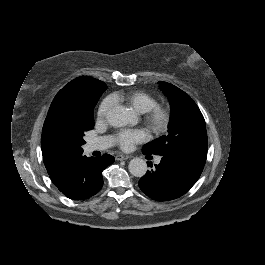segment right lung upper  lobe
I'll list each match as a JSON object with an SVG mask.
<instances>
[{
	"instance_id": "right-lung-upper-lobe-1",
	"label": "right lung upper lobe",
	"mask_w": 265,
	"mask_h": 265,
	"mask_svg": "<svg viewBox=\"0 0 265 265\" xmlns=\"http://www.w3.org/2000/svg\"><path fill=\"white\" fill-rule=\"evenodd\" d=\"M102 83L104 82L89 76H80L64 86L53 99L43 125L41 136L43 161L49 175H53L61 167L79 157H69L64 155L53 145L52 142V134L55 124L68 99L72 94L81 89L89 88Z\"/></svg>"
}]
</instances>
